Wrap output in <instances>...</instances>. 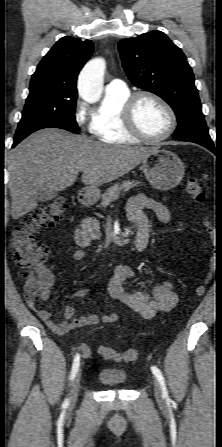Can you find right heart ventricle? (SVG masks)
Instances as JSON below:
<instances>
[{
  "instance_id": "obj_1",
  "label": "right heart ventricle",
  "mask_w": 222,
  "mask_h": 447,
  "mask_svg": "<svg viewBox=\"0 0 222 447\" xmlns=\"http://www.w3.org/2000/svg\"><path fill=\"white\" fill-rule=\"evenodd\" d=\"M130 95L128 89L122 92L106 91L100 107L92 113L90 132L99 141L112 145L134 144L140 139L129 134L122 125L121 109Z\"/></svg>"
}]
</instances>
